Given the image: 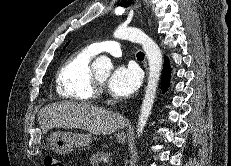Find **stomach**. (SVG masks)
<instances>
[{
  "label": "stomach",
  "mask_w": 231,
  "mask_h": 166,
  "mask_svg": "<svg viewBox=\"0 0 231 166\" xmlns=\"http://www.w3.org/2000/svg\"><path fill=\"white\" fill-rule=\"evenodd\" d=\"M92 139L91 134L57 131L49 136L48 141L54 153L66 155L77 147L88 146ZM117 141L120 144H124L127 141L126 135L124 133H119L117 135Z\"/></svg>",
  "instance_id": "obj_1"
}]
</instances>
